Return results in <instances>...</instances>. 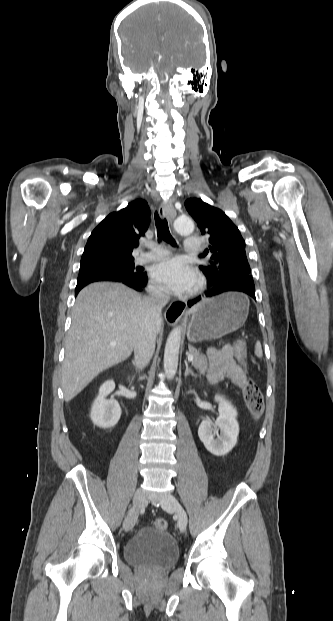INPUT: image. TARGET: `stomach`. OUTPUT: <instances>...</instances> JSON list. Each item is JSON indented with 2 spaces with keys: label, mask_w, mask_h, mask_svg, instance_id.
I'll list each match as a JSON object with an SVG mask.
<instances>
[{
  "label": "stomach",
  "mask_w": 333,
  "mask_h": 621,
  "mask_svg": "<svg viewBox=\"0 0 333 621\" xmlns=\"http://www.w3.org/2000/svg\"><path fill=\"white\" fill-rule=\"evenodd\" d=\"M247 316L243 294L227 292L204 300L192 312L187 338L193 343L219 339L243 326Z\"/></svg>",
  "instance_id": "stomach-1"
}]
</instances>
